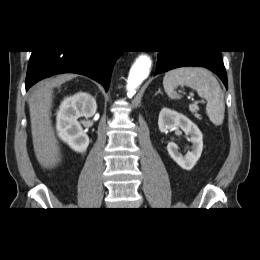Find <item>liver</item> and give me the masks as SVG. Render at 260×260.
<instances>
[{
	"mask_svg": "<svg viewBox=\"0 0 260 260\" xmlns=\"http://www.w3.org/2000/svg\"><path fill=\"white\" fill-rule=\"evenodd\" d=\"M74 77V74L58 75L40 85L29 100L34 151L38 162L45 168H52L60 161L58 141L51 124L53 88Z\"/></svg>",
	"mask_w": 260,
	"mask_h": 260,
	"instance_id": "1",
	"label": "liver"
}]
</instances>
